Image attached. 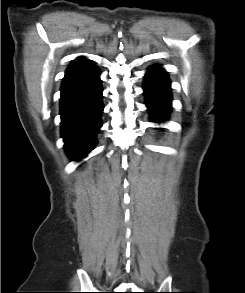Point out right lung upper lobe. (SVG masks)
<instances>
[{
  "label": "right lung upper lobe",
  "instance_id": "1",
  "mask_svg": "<svg viewBox=\"0 0 245 293\" xmlns=\"http://www.w3.org/2000/svg\"><path fill=\"white\" fill-rule=\"evenodd\" d=\"M94 67L95 66L93 65V62L89 59H75L73 63L69 66V68L66 70L63 83L93 69Z\"/></svg>",
  "mask_w": 245,
  "mask_h": 293
}]
</instances>
